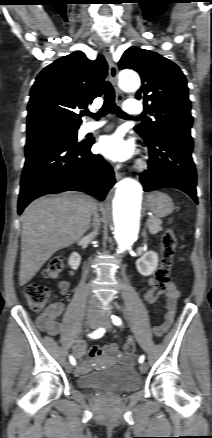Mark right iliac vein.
Wrapping results in <instances>:
<instances>
[{"instance_id": "1", "label": "right iliac vein", "mask_w": 212, "mask_h": 438, "mask_svg": "<svg viewBox=\"0 0 212 438\" xmlns=\"http://www.w3.org/2000/svg\"><path fill=\"white\" fill-rule=\"evenodd\" d=\"M87 324L89 327L91 328H97L99 327V319L98 316L91 314L87 317ZM66 370L68 372H72L73 371V366L71 364H67L66 365ZM75 374H77V370H75L74 372Z\"/></svg>"}]
</instances>
